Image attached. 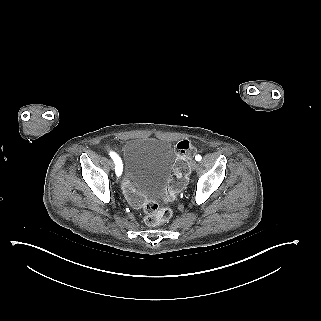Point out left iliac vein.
Instances as JSON below:
<instances>
[{
	"instance_id": "4c4485c4",
	"label": "left iliac vein",
	"mask_w": 321,
	"mask_h": 321,
	"mask_svg": "<svg viewBox=\"0 0 321 321\" xmlns=\"http://www.w3.org/2000/svg\"><path fill=\"white\" fill-rule=\"evenodd\" d=\"M197 166H198V163H197L195 160H193V161L191 162V165H190L191 169H192V170H195V169L197 168Z\"/></svg>"
}]
</instances>
